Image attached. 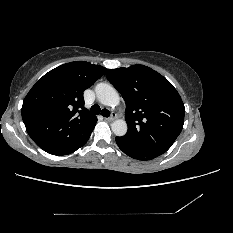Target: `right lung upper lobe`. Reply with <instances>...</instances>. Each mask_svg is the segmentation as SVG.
<instances>
[{
	"instance_id": "cb5924a9",
	"label": "right lung upper lobe",
	"mask_w": 233,
	"mask_h": 233,
	"mask_svg": "<svg viewBox=\"0 0 233 233\" xmlns=\"http://www.w3.org/2000/svg\"><path fill=\"white\" fill-rule=\"evenodd\" d=\"M105 71L100 65L74 61L49 71L35 83L23 101L22 119L41 149L62 155L84 140L97 118L84 107L83 91Z\"/></svg>"
}]
</instances>
